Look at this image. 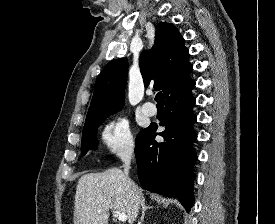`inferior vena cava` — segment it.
Returning a JSON list of instances; mask_svg holds the SVG:
<instances>
[{
  "mask_svg": "<svg viewBox=\"0 0 275 224\" xmlns=\"http://www.w3.org/2000/svg\"><path fill=\"white\" fill-rule=\"evenodd\" d=\"M132 154H133V150H127L120 154V158L124 163L123 167H124V173L126 177H128Z\"/></svg>",
  "mask_w": 275,
  "mask_h": 224,
  "instance_id": "obj_1",
  "label": "inferior vena cava"
}]
</instances>
